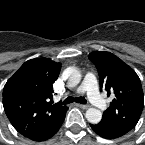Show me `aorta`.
<instances>
[{
    "instance_id": "obj_1",
    "label": "aorta",
    "mask_w": 145,
    "mask_h": 145,
    "mask_svg": "<svg viewBox=\"0 0 145 145\" xmlns=\"http://www.w3.org/2000/svg\"><path fill=\"white\" fill-rule=\"evenodd\" d=\"M63 77L67 80V84L69 87H75L81 81L80 71L75 67H68L67 69H65V71L63 72ZM85 116L88 122L97 124L102 118V112L97 108H89L86 111Z\"/></svg>"
}]
</instances>
